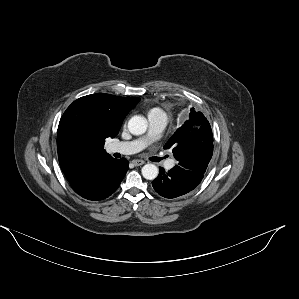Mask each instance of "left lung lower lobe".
Instances as JSON below:
<instances>
[{"mask_svg":"<svg viewBox=\"0 0 299 299\" xmlns=\"http://www.w3.org/2000/svg\"><path fill=\"white\" fill-rule=\"evenodd\" d=\"M203 175L180 165H176L167 173L160 167V174L152 182V186L162 197L173 199L195 189L202 181Z\"/></svg>","mask_w":299,"mask_h":299,"instance_id":"left-lung-lower-lobe-1","label":"left lung lower lobe"}]
</instances>
